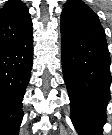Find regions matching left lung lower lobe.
Listing matches in <instances>:
<instances>
[{
	"instance_id": "obj_1",
	"label": "left lung lower lobe",
	"mask_w": 112,
	"mask_h": 135,
	"mask_svg": "<svg viewBox=\"0 0 112 135\" xmlns=\"http://www.w3.org/2000/svg\"><path fill=\"white\" fill-rule=\"evenodd\" d=\"M61 58L71 120L79 135H102L110 100V56L103 27L61 18Z\"/></svg>"
}]
</instances>
